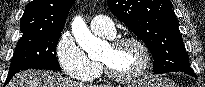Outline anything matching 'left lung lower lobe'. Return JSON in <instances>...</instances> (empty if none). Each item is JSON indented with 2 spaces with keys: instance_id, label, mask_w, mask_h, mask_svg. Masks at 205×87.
Segmentation results:
<instances>
[{
  "instance_id": "1",
  "label": "left lung lower lobe",
  "mask_w": 205,
  "mask_h": 87,
  "mask_svg": "<svg viewBox=\"0 0 205 87\" xmlns=\"http://www.w3.org/2000/svg\"><path fill=\"white\" fill-rule=\"evenodd\" d=\"M181 72L189 74V75L194 76L195 78H197L196 74L194 73V71L192 69L182 70Z\"/></svg>"
}]
</instances>
